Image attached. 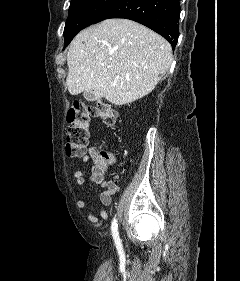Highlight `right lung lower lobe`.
<instances>
[{
    "instance_id": "98d812e1",
    "label": "right lung lower lobe",
    "mask_w": 240,
    "mask_h": 281,
    "mask_svg": "<svg viewBox=\"0 0 240 281\" xmlns=\"http://www.w3.org/2000/svg\"><path fill=\"white\" fill-rule=\"evenodd\" d=\"M179 11V0H116L94 23L109 18L130 19L159 33L175 49Z\"/></svg>"
}]
</instances>
